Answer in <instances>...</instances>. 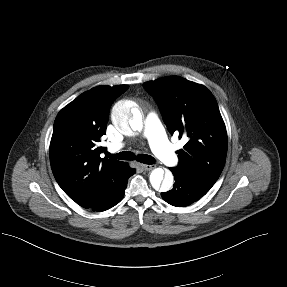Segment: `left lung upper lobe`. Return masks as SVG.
Segmentation results:
<instances>
[{
  "mask_svg": "<svg viewBox=\"0 0 287 287\" xmlns=\"http://www.w3.org/2000/svg\"><path fill=\"white\" fill-rule=\"evenodd\" d=\"M171 134L186 135L189 141L177 151L175 169L189 173L211 189L219 178L227 154V132L216 99L203 85L169 76L145 82Z\"/></svg>",
  "mask_w": 287,
  "mask_h": 287,
  "instance_id": "obj_1",
  "label": "left lung upper lobe"
}]
</instances>
